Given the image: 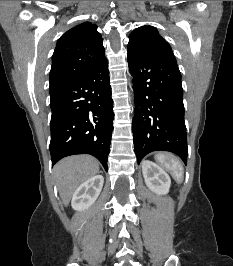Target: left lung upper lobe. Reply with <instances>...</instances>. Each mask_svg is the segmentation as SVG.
Here are the masks:
<instances>
[{"label": "left lung upper lobe", "instance_id": "1", "mask_svg": "<svg viewBox=\"0 0 233 266\" xmlns=\"http://www.w3.org/2000/svg\"><path fill=\"white\" fill-rule=\"evenodd\" d=\"M128 49L174 56L168 42L152 26H142L134 30L129 36Z\"/></svg>", "mask_w": 233, "mask_h": 266}]
</instances>
